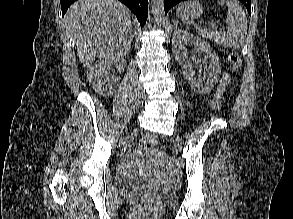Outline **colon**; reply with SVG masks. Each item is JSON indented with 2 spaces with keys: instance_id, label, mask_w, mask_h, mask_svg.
Wrapping results in <instances>:
<instances>
[{
  "instance_id": "5ec220e1",
  "label": "colon",
  "mask_w": 293,
  "mask_h": 219,
  "mask_svg": "<svg viewBox=\"0 0 293 219\" xmlns=\"http://www.w3.org/2000/svg\"><path fill=\"white\" fill-rule=\"evenodd\" d=\"M229 62L231 65L232 72L238 71L242 66L241 58L236 53H231L229 55ZM221 106H222V100L220 98H217L216 100H214L212 102L211 110L217 111L221 108ZM156 143H157V137L155 135L151 134V135H147L141 139L140 146L142 149H149L152 146H154Z\"/></svg>"
}]
</instances>
